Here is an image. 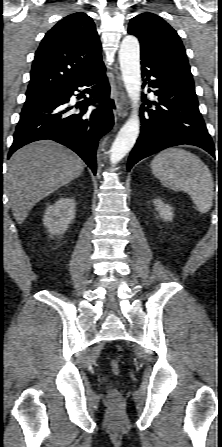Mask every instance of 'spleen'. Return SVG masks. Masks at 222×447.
Masks as SVG:
<instances>
[{
    "mask_svg": "<svg viewBox=\"0 0 222 447\" xmlns=\"http://www.w3.org/2000/svg\"><path fill=\"white\" fill-rule=\"evenodd\" d=\"M151 169L165 187L186 192L200 213L211 209L213 178L199 157L180 148H169L154 157Z\"/></svg>",
    "mask_w": 222,
    "mask_h": 447,
    "instance_id": "obj_1",
    "label": "spleen"
}]
</instances>
